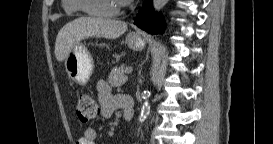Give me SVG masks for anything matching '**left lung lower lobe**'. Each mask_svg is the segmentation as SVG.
Wrapping results in <instances>:
<instances>
[{"instance_id":"left-lung-lower-lobe-1","label":"left lung lower lobe","mask_w":273,"mask_h":144,"mask_svg":"<svg viewBox=\"0 0 273 144\" xmlns=\"http://www.w3.org/2000/svg\"><path fill=\"white\" fill-rule=\"evenodd\" d=\"M135 24L150 34L163 33L165 26L163 16L154 12L151 0H146L135 18Z\"/></svg>"}]
</instances>
